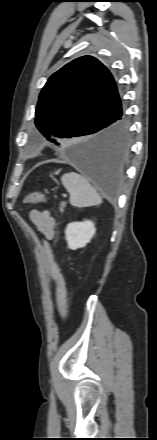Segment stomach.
Returning a JSON list of instances; mask_svg holds the SVG:
<instances>
[{
	"instance_id": "1",
	"label": "stomach",
	"mask_w": 157,
	"mask_h": 440,
	"mask_svg": "<svg viewBox=\"0 0 157 440\" xmlns=\"http://www.w3.org/2000/svg\"><path fill=\"white\" fill-rule=\"evenodd\" d=\"M58 173H59V170L55 172V174H58Z\"/></svg>"
}]
</instances>
